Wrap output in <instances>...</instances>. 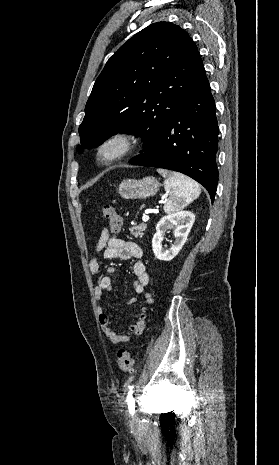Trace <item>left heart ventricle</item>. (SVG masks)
<instances>
[{
  "instance_id": "1",
  "label": "left heart ventricle",
  "mask_w": 279,
  "mask_h": 465,
  "mask_svg": "<svg viewBox=\"0 0 279 465\" xmlns=\"http://www.w3.org/2000/svg\"><path fill=\"white\" fill-rule=\"evenodd\" d=\"M117 145H111L109 146L106 150H105V155L106 156H110L112 154H114L117 150Z\"/></svg>"
}]
</instances>
